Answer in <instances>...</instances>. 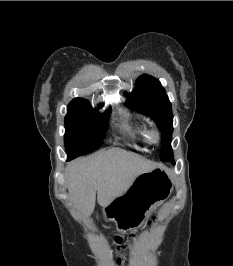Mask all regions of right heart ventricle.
I'll use <instances>...</instances> for the list:
<instances>
[{
	"instance_id": "obj_1",
	"label": "right heart ventricle",
	"mask_w": 233,
	"mask_h": 266,
	"mask_svg": "<svg viewBox=\"0 0 233 266\" xmlns=\"http://www.w3.org/2000/svg\"><path fill=\"white\" fill-rule=\"evenodd\" d=\"M131 129L141 141L146 143L149 141L147 126L144 122L139 121L134 123L131 126Z\"/></svg>"
}]
</instances>
